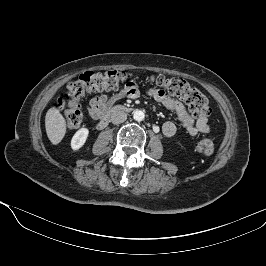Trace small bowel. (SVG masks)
<instances>
[{"instance_id":"1","label":"small bowel","mask_w":266,"mask_h":266,"mask_svg":"<svg viewBox=\"0 0 266 266\" xmlns=\"http://www.w3.org/2000/svg\"><path fill=\"white\" fill-rule=\"evenodd\" d=\"M147 94L152 97L157 102L163 104L165 107L170 109L177 117V120L181 126L188 131L191 135L205 134L210 131V125L207 115H201L194 118L186 109L184 104L173 96L169 95L163 90L150 89ZM140 96V90L134 83H128L124 89L120 92L115 93L112 96L100 95L93 97L87 107L89 116L98 120L101 119L104 112L108 107H110L114 102L122 98L136 99ZM177 131L176 125L167 121L162 126V132L166 137H172Z\"/></svg>"}]
</instances>
